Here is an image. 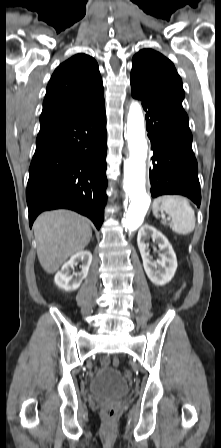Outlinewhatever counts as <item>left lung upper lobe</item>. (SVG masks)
I'll list each match as a JSON object with an SVG mask.
<instances>
[{
  "mask_svg": "<svg viewBox=\"0 0 221 448\" xmlns=\"http://www.w3.org/2000/svg\"><path fill=\"white\" fill-rule=\"evenodd\" d=\"M132 63V93L188 125V116L182 107L185 97L182 80L173 63L152 49L139 51Z\"/></svg>",
  "mask_w": 221,
  "mask_h": 448,
  "instance_id": "obj_1",
  "label": "left lung upper lobe"
}]
</instances>
